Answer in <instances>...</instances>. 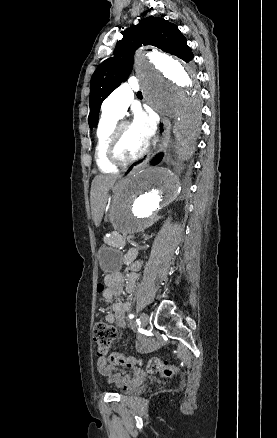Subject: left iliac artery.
Masks as SVG:
<instances>
[{"instance_id": "obj_1", "label": "left iliac artery", "mask_w": 277, "mask_h": 438, "mask_svg": "<svg viewBox=\"0 0 277 438\" xmlns=\"http://www.w3.org/2000/svg\"><path fill=\"white\" fill-rule=\"evenodd\" d=\"M129 318H130V319L134 318V315H133V314H130V315H129Z\"/></svg>"}]
</instances>
